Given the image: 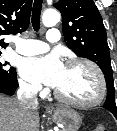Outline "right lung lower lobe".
I'll list each match as a JSON object with an SVG mask.
<instances>
[{
    "instance_id": "1",
    "label": "right lung lower lobe",
    "mask_w": 117,
    "mask_h": 131,
    "mask_svg": "<svg viewBox=\"0 0 117 131\" xmlns=\"http://www.w3.org/2000/svg\"><path fill=\"white\" fill-rule=\"evenodd\" d=\"M18 87V82H17V85L15 87H10L8 85H5V84H0V93H4V94H7V95H13L14 92L16 91Z\"/></svg>"
}]
</instances>
